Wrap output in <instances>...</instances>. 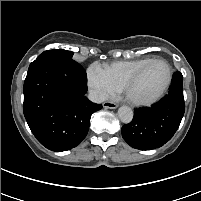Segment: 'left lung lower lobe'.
I'll use <instances>...</instances> for the list:
<instances>
[{"label": "left lung lower lobe", "instance_id": "0a47b994", "mask_svg": "<svg viewBox=\"0 0 201 201\" xmlns=\"http://www.w3.org/2000/svg\"><path fill=\"white\" fill-rule=\"evenodd\" d=\"M184 112L183 76L175 72L169 93L150 108L135 109L132 121L122 127V137L139 150L159 148L177 131Z\"/></svg>", "mask_w": 201, "mask_h": 201}]
</instances>
